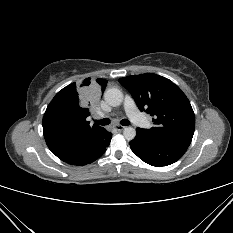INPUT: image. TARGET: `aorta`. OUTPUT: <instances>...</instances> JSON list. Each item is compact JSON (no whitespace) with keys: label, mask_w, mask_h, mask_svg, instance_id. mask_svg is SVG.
I'll use <instances>...</instances> for the list:
<instances>
[{"label":"aorta","mask_w":233,"mask_h":233,"mask_svg":"<svg viewBox=\"0 0 233 233\" xmlns=\"http://www.w3.org/2000/svg\"><path fill=\"white\" fill-rule=\"evenodd\" d=\"M104 99L110 106L117 107L123 102V93L117 88H110L105 91ZM123 135L126 140H133L136 136V130L133 127H126L123 130Z\"/></svg>","instance_id":"aorta-1"}]
</instances>
